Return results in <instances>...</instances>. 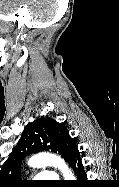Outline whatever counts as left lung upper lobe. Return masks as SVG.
Instances as JSON below:
<instances>
[{
  "mask_svg": "<svg viewBox=\"0 0 119 187\" xmlns=\"http://www.w3.org/2000/svg\"><path fill=\"white\" fill-rule=\"evenodd\" d=\"M75 140L69 135L67 127L52 118H40L29 123L21 138L2 165L0 187H18L25 181L18 180L23 158L30 153L51 151L58 153L67 162Z\"/></svg>",
  "mask_w": 119,
  "mask_h": 187,
  "instance_id": "1",
  "label": "left lung upper lobe"
}]
</instances>
